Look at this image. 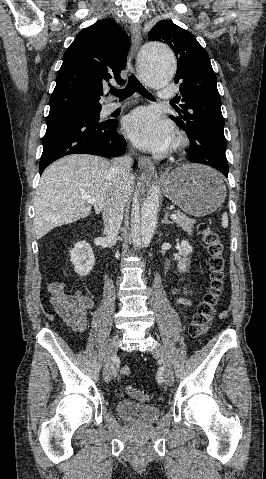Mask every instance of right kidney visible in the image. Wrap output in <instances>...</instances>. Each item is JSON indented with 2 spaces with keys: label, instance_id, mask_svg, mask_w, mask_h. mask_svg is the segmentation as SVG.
<instances>
[{
  "label": "right kidney",
  "instance_id": "obj_1",
  "mask_svg": "<svg viewBox=\"0 0 266 479\" xmlns=\"http://www.w3.org/2000/svg\"><path fill=\"white\" fill-rule=\"evenodd\" d=\"M69 253L75 273L79 276L88 275L95 263V257L90 244L86 241L78 242Z\"/></svg>",
  "mask_w": 266,
  "mask_h": 479
}]
</instances>
